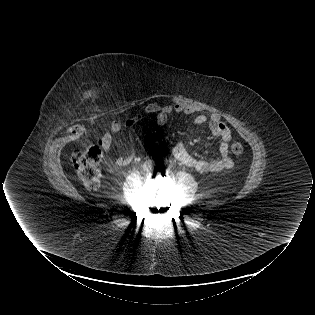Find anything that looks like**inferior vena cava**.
<instances>
[{
	"instance_id": "inferior-vena-cava-1",
	"label": "inferior vena cava",
	"mask_w": 315,
	"mask_h": 315,
	"mask_svg": "<svg viewBox=\"0 0 315 315\" xmlns=\"http://www.w3.org/2000/svg\"><path fill=\"white\" fill-rule=\"evenodd\" d=\"M151 164H152V162H149V163H148V166H150Z\"/></svg>"
}]
</instances>
